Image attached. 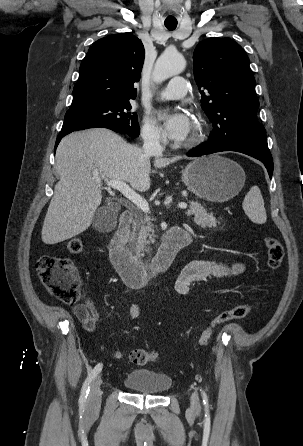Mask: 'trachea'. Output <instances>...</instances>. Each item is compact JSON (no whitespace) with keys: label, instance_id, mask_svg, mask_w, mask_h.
Here are the masks:
<instances>
[{"label":"trachea","instance_id":"1","mask_svg":"<svg viewBox=\"0 0 303 446\" xmlns=\"http://www.w3.org/2000/svg\"><path fill=\"white\" fill-rule=\"evenodd\" d=\"M165 26L168 30H174L177 27V22L174 21H165Z\"/></svg>","mask_w":303,"mask_h":446}]
</instances>
